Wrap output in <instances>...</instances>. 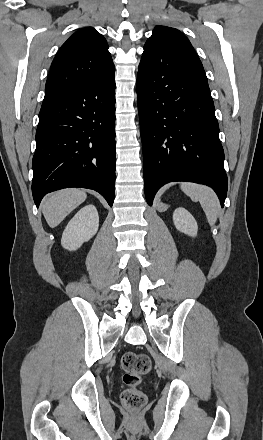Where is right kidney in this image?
Segmentation results:
<instances>
[{"label": "right kidney", "instance_id": "1", "mask_svg": "<svg viewBox=\"0 0 263 440\" xmlns=\"http://www.w3.org/2000/svg\"><path fill=\"white\" fill-rule=\"evenodd\" d=\"M98 227L99 216L96 207L92 204L86 205L66 226L62 234L61 245L70 251L77 250L97 233Z\"/></svg>", "mask_w": 263, "mask_h": 440}]
</instances>
